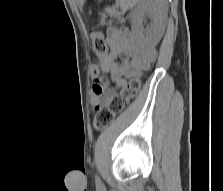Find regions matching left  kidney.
<instances>
[{
	"instance_id": "5707ae66",
	"label": "left kidney",
	"mask_w": 223,
	"mask_h": 191,
	"mask_svg": "<svg viewBox=\"0 0 223 191\" xmlns=\"http://www.w3.org/2000/svg\"><path fill=\"white\" fill-rule=\"evenodd\" d=\"M167 0H144L137 7L133 16V31L142 46L156 45L164 31ZM148 16L152 23L144 28V17Z\"/></svg>"
}]
</instances>
